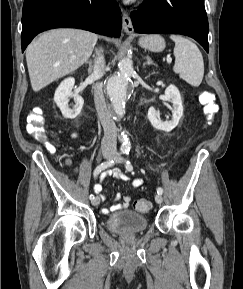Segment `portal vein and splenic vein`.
<instances>
[{
	"label": "portal vein and splenic vein",
	"mask_w": 243,
	"mask_h": 289,
	"mask_svg": "<svg viewBox=\"0 0 243 289\" xmlns=\"http://www.w3.org/2000/svg\"><path fill=\"white\" fill-rule=\"evenodd\" d=\"M171 61H172L171 58L167 59V63H171Z\"/></svg>",
	"instance_id": "18ae733b"
}]
</instances>
